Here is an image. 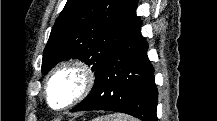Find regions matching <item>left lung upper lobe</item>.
Returning <instances> with one entry per match:
<instances>
[{
	"label": "left lung upper lobe",
	"instance_id": "left-lung-upper-lobe-1",
	"mask_svg": "<svg viewBox=\"0 0 217 121\" xmlns=\"http://www.w3.org/2000/svg\"><path fill=\"white\" fill-rule=\"evenodd\" d=\"M136 8V0H68L44 49L42 73L78 58L97 74L133 25Z\"/></svg>",
	"mask_w": 217,
	"mask_h": 121
}]
</instances>
